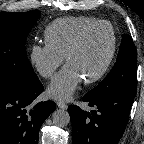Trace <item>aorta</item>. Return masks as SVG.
Masks as SVG:
<instances>
[{"label": "aorta", "mask_w": 144, "mask_h": 144, "mask_svg": "<svg viewBox=\"0 0 144 144\" xmlns=\"http://www.w3.org/2000/svg\"><path fill=\"white\" fill-rule=\"evenodd\" d=\"M53 123L58 127H65L70 123V115L66 110L57 109L52 114Z\"/></svg>", "instance_id": "1"}]
</instances>
